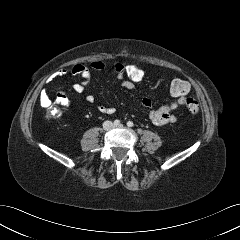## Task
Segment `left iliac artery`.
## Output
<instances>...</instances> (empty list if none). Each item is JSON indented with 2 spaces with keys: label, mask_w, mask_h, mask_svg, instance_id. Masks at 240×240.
<instances>
[{
  "label": "left iliac artery",
  "mask_w": 240,
  "mask_h": 240,
  "mask_svg": "<svg viewBox=\"0 0 240 240\" xmlns=\"http://www.w3.org/2000/svg\"><path fill=\"white\" fill-rule=\"evenodd\" d=\"M127 126H128V127H132V126H133V122H132V121H128V122H127Z\"/></svg>",
  "instance_id": "left-iliac-artery-1"
}]
</instances>
